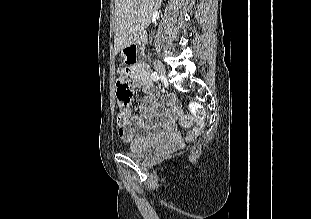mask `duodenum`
Listing matches in <instances>:
<instances>
[{
    "label": "duodenum",
    "mask_w": 311,
    "mask_h": 219,
    "mask_svg": "<svg viewBox=\"0 0 311 219\" xmlns=\"http://www.w3.org/2000/svg\"><path fill=\"white\" fill-rule=\"evenodd\" d=\"M147 43V38L144 33H141L136 41L128 48L129 54L132 55L136 62L141 63L143 61L144 49Z\"/></svg>",
    "instance_id": "410a0bca"
}]
</instances>
